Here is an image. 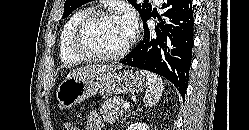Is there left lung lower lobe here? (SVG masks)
<instances>
[{"label":"left lung lower lobe","instance_id":"obj_1","mask_svg":"<svg viewBox=\"0 0 249 130\" xmlns=\"http://www.w3.org/2000/svg\"><path fill=\"white\" fill-rule=\"evenodd\" d=\"M162 8L165 19L151 32L144 19V38L119 63L145 69L168 79L184 98L189 79L194 36V12L191 0H167Z\"/></svg>","mask_w":249,"mask_h":130}]
</instances>
